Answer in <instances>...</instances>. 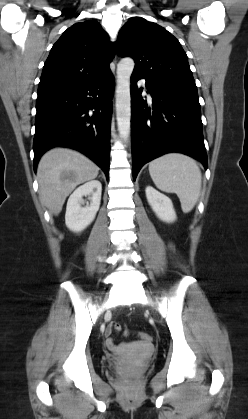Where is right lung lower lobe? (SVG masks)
<instances>
[{
    "instance_id": "98d812e1",
    "label": "right lung lower lobe",
    "mask_w": 248,
    "mask_h": 419,
    "mask_svg": "<svg viewBox=\"0 0 248 419\" xmlns=\"http://www.w3.org/2000/svg\"><path fill=\"white\" fill-rule=\"evenodd\" d=\"M113 90L109 69L86 82L38 91L34 170L43 153L64 146L90 157L108 177Z\"/></svg>"
}]
</instances>
